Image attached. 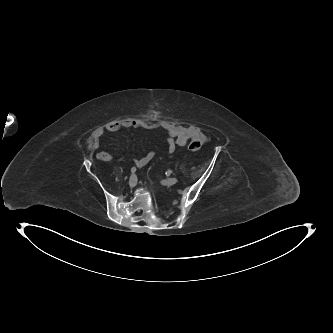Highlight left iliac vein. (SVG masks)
<instances>
[{"label": "left iliac vein", "mask_w": 333, "mask_h": 333, "mask_svg": "<svg viewBox=\"0 0 333 333\" xmlns=\"http://www.w3.org/2000/svg\"><path fill=\"white\" fill-rule=\"evenodd\" d=\"M177 181H178L177 177H172V178H170V179H168V180H163V181H162V184H163L164 186H171V185L176 184Z\"/></svg>", "instance_id": "obj_1"}]
</instances>
